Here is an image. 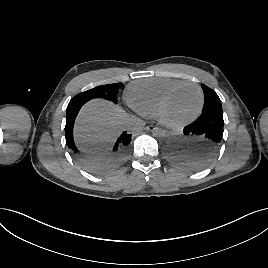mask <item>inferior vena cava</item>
Here are the masks:
<instances>
[{
    "label": "inferior vena cava",
    "mask_w": 268,
    "mask_h": 268,
    "mask_svg": "<svg viewBox=\"0 0 268 268\" xmlns=\"http://www.w3.org/2000/svg\"><path fill=\"white\" fill-rule=\"evenodd\" d=\"M132 123H133V119L128 118V119L126 120V122H125V126H126V128H127V129L130 128L131 125H132Z\"/></svg>",
    "instance_id": "602c4592"
}]
</instances>
